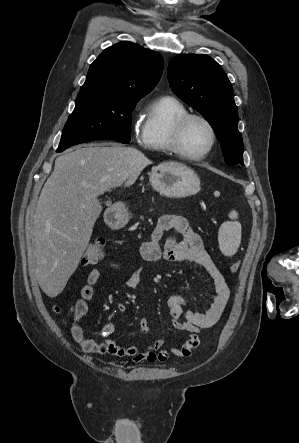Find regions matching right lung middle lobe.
Returning a JSON list of instances; mask_svg holds the SVG:
<instances>
[{
  "label": "right lung middle lobe",
  "instance_id": "right-lung-middle-lobe-1",
  "mask_svg": "<svg viewBox=\"0 0 299 443\" xmlns=\"http://www.w3.org/2000/svg\"><path fill=\"white\" fill-rule=\"evenodd\" d=\"M138 101L104 94H78L57 152L74 144L99 139L128 144L131 139V112Z\"/></svg>",
  "mask_w": 299,
  "mask_h": 443
}]
</instances>
